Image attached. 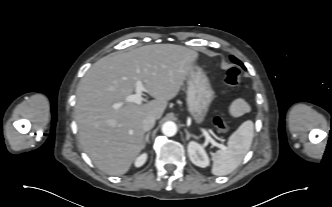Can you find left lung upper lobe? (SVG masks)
<instances>
[{
	"instance_id": "1",
	"label": "left lung upper lobe",
	"mask_w": 332,
	"mask_h": 207,
	"mask_svg": "<svg viewBox=\"0 0 332 207\" xmlns=\"http://www.w3.org/2000/svg\"><path fill=\"white\" fill-rule=\"evenodd\" d=\"M230 58H231L232 62L242 66L245 69L244 65L237 58H235L234 56H231Z\"/></svg>"
}]
</instances>
